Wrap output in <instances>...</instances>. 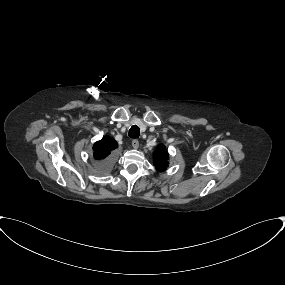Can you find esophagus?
Returning a JSON list of instances; mask_svg holds the SVG:
<instances>
[{"label":"esophagus","mask_w":285,"mask_h":285,"mask_svg":"<svg viewBox=\"0 0 285 285\" xmlns=\"http://www.w3.org/2000/svg\"><path fill=\"white\" fill-rule=\"evenodd\" d=\"M132 147H133L134 149H137V148L139 147V142H138V140H133V141H132Z\"/></svg>","instance_id":"34e87169"}]
</instances>
